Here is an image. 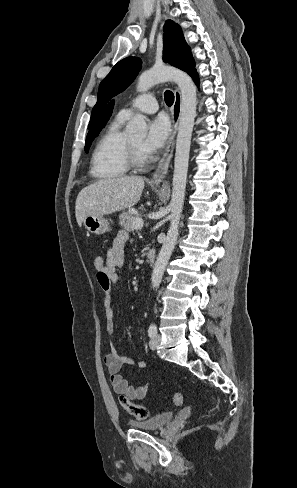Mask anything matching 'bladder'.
<instances>
[{"instance_id":"1","label":"bladder","mask_w":297,"mask_h":488,"mask_svg":"<svg viewBox=\"0 0 297 488\" xmlns=\"http://www.w3.org/2000/svg\"><path fill=\"white\" fill-rule=\"evenodd\" d=\"M173 418V412H162L156 414L147 420H130L128 425L134 429L144 431H155L165 427Z\"/></svg>"}]
</instances>
